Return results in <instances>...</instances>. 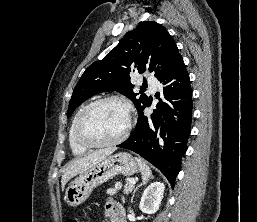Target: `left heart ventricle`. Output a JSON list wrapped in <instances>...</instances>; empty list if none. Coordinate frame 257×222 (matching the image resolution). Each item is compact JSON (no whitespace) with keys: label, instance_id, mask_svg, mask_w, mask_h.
Masks as SVG:
<instances>
[{"label":"left heart ventricle","instance_id":"obj_1","mask_svg":"<svg viewBox=\"0 0 257 222\" xmlns=\"http://www.w3.org/2000/svg\"><path fill=\"white\" fill-rule=\"evenodd\" d=\"M127 120L126 108L118 102H109L96 107L87 116L82 130L93 141H111L124 131Z\"/></svg>","mask_w":257,"mask_h":222}]
</instances>
